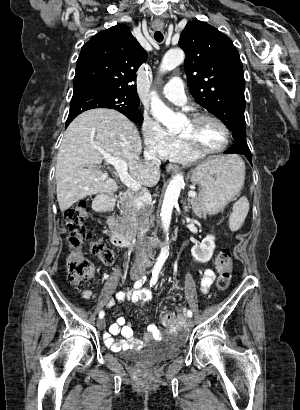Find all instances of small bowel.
<instances>
[{
	"label": "small bowel",
	"mask_w": 300,
	"mask_h": 410,
	"mask_svg": "<svg viewBox=\"0 0 300 410\" xmlns=\"http://www.w3.org/2000/svg\"><path fill=\"white\" fill-rule=\"evenodd\" d=\"M216 279V273L212 269H206L203 272L200 288L203 293H208L210 288ZM82 297L84 299H89L92 297V292L90 290H83ZM119 301H131L133 303H138L144 305L147 301L151 299V292L147 289H141L135 292H120L117 296ZM113 305V302L109 303V306ZM115 336H120L121 339L118 340L114 338ZM160 336L159 330L156 325L151 324L148 326L147 331L143 335L141 340L136 339L134 336L133 329L131 325L126 321L125 318H117L110 326L109 332L104 335L105 344L113 351H119L120 349H132L142 346L146 342H150L158 339Z\"/></svg>",
	"instance_id": "small-bowel-1"
}]
</instances>
